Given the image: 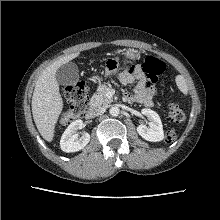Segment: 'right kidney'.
<instances>
[{
    "label": "right kidney",
    "instance_id": "ca27d5eb",
    "mask_svg": "<svg viewBox=\"0 0 220 220\" xmlns=\"http://www.w3.org/2000/svg\"><path fill=\"white\" fill-rule=\"evenodd\" d=\"M82 128V120H76L67 127L60 140V147L62 151L67 153L77 152L89 143L90 135L88 133H84L81 137H78L77 130Z\"/></svg>",
    "mask_w": 220,
    "mask_h": 220
}]
</instances>
